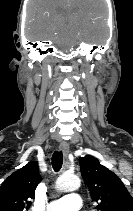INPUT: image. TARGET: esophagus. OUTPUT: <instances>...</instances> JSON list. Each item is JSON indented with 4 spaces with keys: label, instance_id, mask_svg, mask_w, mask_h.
I'll return each instance as SVG.
<instances>
[{
    "label": "esophagus",
    "instance_id": "34e87169",
    "mask_svg": "<svg viewBox=\"0 0 133 211\" xmlns=\"http://www.w3.org/2000/svg\"><path fill=\"white\" fill-rule=\"evenodd\" d=\"M58 148L63 152L64 156L67 157L69 153V145L66 142H61Z\"/></svg>",
    "mask_w": 133,
    "mask_h": 211
}]
</instances>
